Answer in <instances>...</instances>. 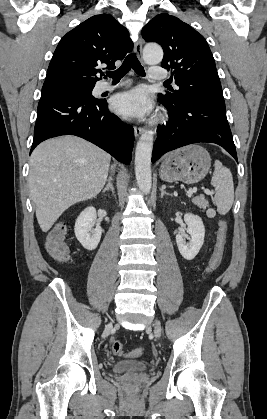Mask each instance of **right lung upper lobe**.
Returning <instances> with one entry per match:
<instances>
[{"label": "right lung upper lobe", "instance_id": "right-lung-upper-lobe-1", "mask_svg": "<svg viewBox=\"0 0 267 419\" xmlns=\"http://www.w3.org/2000/svg\"><path fill=\"white\" fill-rule=\"evenodd\" d=\"M133 49L128 30L113 16H92L68 32L59 42L48 67L42 89L62 88L66 85L94 87L96 66L104 63L115 68ZM103 74H101L102 76Z\"/></svg>", "mask_w": 267, "mask_h": 419}]
</instances>
